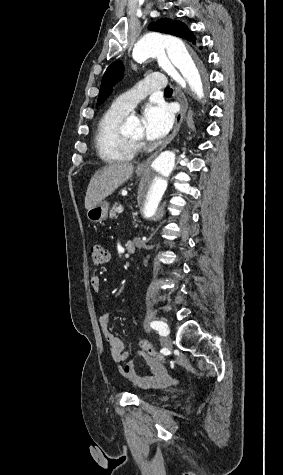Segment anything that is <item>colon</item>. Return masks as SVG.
Returning a JSON list of instances; mask_svg holds the SVG:
<instances>
[{
  "label": "colon",
  "mask_w": 283,
  "mask_h": 475,
  "mask_svg": "<svg viewBox=\"0 0 283 475\" xmlns=\"http://www.w3.org/2000/svg\"><path fill=\"white\" fill-rule=\"evenodd\" d=\"M91 263L94 267H100L104 265L109 258L107 250L101 243H93L91 245ZM139 351L138 355L133 356L132 360L136 362H147L150 366H162L165 364L164 357L155 350L150 343L144 339H140L138 342ZM172 365L171 363H169Z\"/></svg>",
  "instance_id": "colon-1"
}]
</instances>
